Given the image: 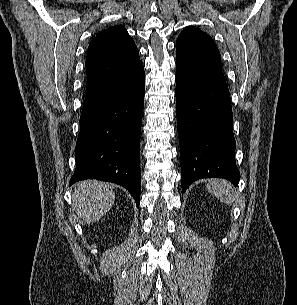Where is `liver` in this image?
<instances>
[{
	"mask_svg": "<svg viewBox=\"0 0 297 305\" xmlns=\"http://www.w3.org/2000/svg\"><path fill=\"white\" fill-rule=\"evenodd\" d=\"M73 208L77 215L88 224L103 217L115 201V193L109 183L85 180L73 187Z\"/></svg>",
	"mask_w": 297,
	"mask_h": 305,
	"instance_id": "obj_1",
	"label": "liver"
}]
</instances>
